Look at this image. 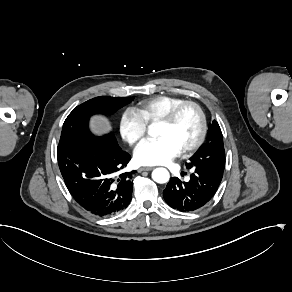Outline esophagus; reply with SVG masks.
Segmentation results:
<instances>
[{"label": "esophagus", "instance_id": "34e87169", "mask_svg": "<svg viewBox=\"0 0 292 292\" xmlns=\"http://www.w3.org/2000/svg\"><path fill=\"white\" fill-rule=\"evenodd\" d=\"M154 167H140L137 171L140 173L142 171H151Z\"/></svg>", "mask_w": 292, "mask_h": 292}]
</instances>
